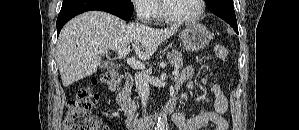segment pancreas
I'll return each instance as SVG.
<instances>
[{
    "label": "pancreas",
    "instance_id": "1",
    "mask_svg": "<svg viewBox=\"0 0 299 130\" xmlns=\"http://www.w3.org/2000/svg\"><path fill=\"white\" fill-rule=\"evenodd\" d=\"M167 58L170 63L176 68H181L183 66V58L181 52L173 50L172 52H169L167 54ZM177 78H179V76Z\"/></svg>",
    "mask_w": 299,
    "mask_h": 130
}]
</instances>
